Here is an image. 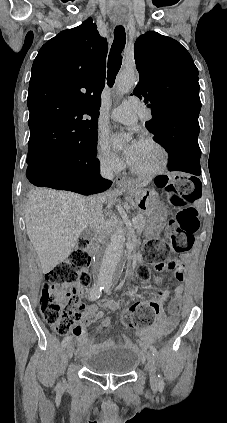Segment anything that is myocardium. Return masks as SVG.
<instances>
[{"label": "myocardium", "instance_id": "f54148a6", "mask_svg": "<svg viewBox=\"0 0 227 423\" xmlns=\"http://www.w3.org/2000/svg\"><path fill=\"white\" fill-rule=\"evenodd\" d=\"M141 142L151 144L155 146L156 148H158V150L161 153V161L158 164V166H156L154 169L150 171L138 170L132 164H130L129 167L131 172L143 178H154L163 174L167 170L169 166V162H170V154L167 147L159 139L153 136L144 137L141 139Z\"/></svg>", "mask_w": 227, "mask_h": 423}]
</instances>
